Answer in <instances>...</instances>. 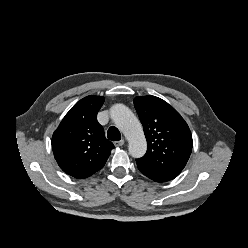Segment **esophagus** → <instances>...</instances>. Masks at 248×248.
Here are the masks:
<instances>
[{
	"instance_id": "34e87169",
	"label": "esophagus",
	"mask_w": 248,
	"mask_h": 248,
	"mask_svg": "<svg viewBox=\"0 0 248 248\" xmlns=\"http://www.w3.org/2000/svg\"><path fill=\"white\" fill-rule=\"evenodd\" d=\"M124 143H125V141L122 139V140H119V141L114 142V145L116 147H121V146L124 145Z\"/></svg>"
}]
</instances>
